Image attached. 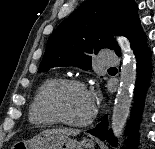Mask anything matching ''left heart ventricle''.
<instances>
[{
	"instance_id": "1",
	"label": "left heart ventricle",
	"mask_w": 155,
	"mask_h": 149,
	"mask_svg": "<svg viewBox=\"0 0 155 149\" xmlns=\"http://www.w3.org/2000/svg\"><path fill=\"white\" fill-rule=\"evenodd\" d=\"M58 105L62 113L73 121L85 120L93 111L88 92L78 87L63 89L58 95Z\"/></svg>"
}]
</instances>
